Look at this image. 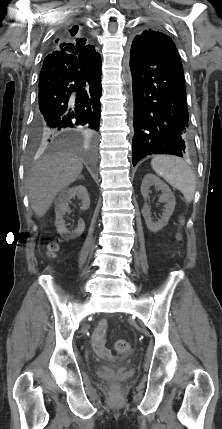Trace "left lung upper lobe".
Returning <instances> with one entry per match:
<instances>
[{
  "instance_id": "left-lung-upper-lobe-1",
  "label": "left lung upper lobe",
  "mask_w": 222,
  "mask_h": 429,
  "mask_svg": "<svg viewBox=\"0 0 222 429\" xmlns=\"http://www.w3.org/2000/svg\"><path fill=\"white\" fill-rule=\"evenodd\" d=\"M159 35L163 36L165 34L159 32V31H156L154 29H146V30L140 32L138 35H136L135 38L133 39L132 43H135L137 41H142L145 45V42H147V41L149 42L150 39H157V36H159Z\"/></svg>"
}]
</instances>
